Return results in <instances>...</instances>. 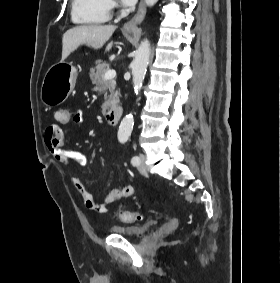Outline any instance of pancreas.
I'll return each mask as SVG.
<instances>
[{
	"instance_id": "cf45deb5",
	"label": "pancreas",
	"mask_w": 280,
	"mask_h": 283,
	"mask_svg": "<svg viewBox=\"0 0 280 283\" xmlns=\"http://www.w3.org/2000/svg\"><path fill=\"white\" fill-rule=\"evenodd\" d=\"M109 68V64L103 61H96L95 66L90 68V78L95 85L94 90L104 93V103L102 113L114 108L119 104V91L116 89L114 79L104 80V75Z\"/></svg>"
}]
</instances>
